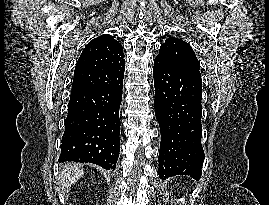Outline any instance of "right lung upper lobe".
I'll list each match as a JSON object with an SVG mask.
<instances>
[{"mask_svg":"<svg viewBox=\"0 0 269 205\" xmlns=\"http://www.w3.org/2000/svg\"><path fill=\"white\" fill-rule=\"evenodd\" d=\"M124 70L122 45L108 34L101 35L83 49L75 67L71 92L118 83Z\"/></svg>","mask_w":269,"mask_h":205,"instance_id":"cb5924a9","label":"right lung upper lobe"}]
</instances>
